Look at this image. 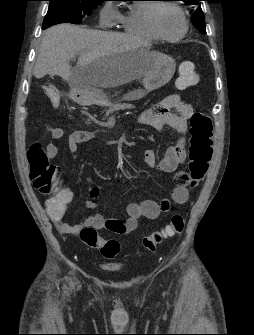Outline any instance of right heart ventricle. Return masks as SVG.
Segmentation results:
<instances>
[{"label":"right heart ventricle","instance_id":"obj_1","mask_svg":"<svg viewBox=\"0 0 254 335\" xmlns=\"http://www.w3.org/2000/svg\"><path fill=\"white\" fill-rule=\"evenodd\" d=\"M152 4H135L124 13L118 15L117 21L129 35L145 39L157 40L147 23V13Z\"/></svg>","mask_w":254,"mask_h":335}]
</instances>
